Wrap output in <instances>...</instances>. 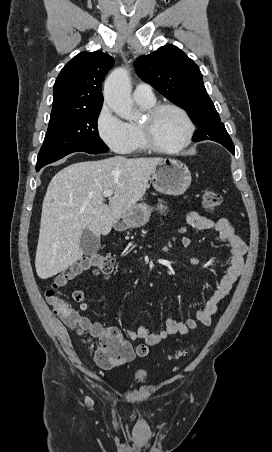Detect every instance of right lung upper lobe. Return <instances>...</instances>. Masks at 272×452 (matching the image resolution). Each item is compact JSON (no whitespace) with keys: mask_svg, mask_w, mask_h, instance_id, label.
I'll list each match as a JSON object with an SVG mask.
<instances>
[{"mask_svg":"<svg viewBox=\"0 0 272 452\" xmlns=\"http://www.w3.org/2000/svg\"><path fill=\"white\" fill-rule=\"evenodd\" d=\"M113 65L114 59L100 51L76 55L55 81L51 115L101 108V83Z\"/></svg>","mask_w":272,"mask_h":452,"instance_id":"cb5924a9","label":"right lung upper lobe"}]
</instances>
